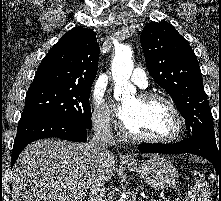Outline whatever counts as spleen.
<instances>
[{
    "label": "spleen",
    "mask_w": 221,
    "mask_h": 201,
    "mask_svg": "<svg viewBox=\"0 0 221 201\" xmlns=\"http://www.w3.org/2000/svg\"><path fill=\"white\" fill-rule=\"evenodd\" d=\"M194 186L186 193L185 201H212L210 188L205 178L194 171Z\"/></svg>",
    "instance_id": "obj_1"
}]
</instances>
